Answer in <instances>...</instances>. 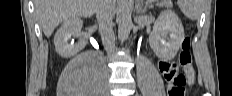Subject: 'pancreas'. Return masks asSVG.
Listing matches in <instances>:
<instances>
[{"label":"pancreas","mask_w":232,"mask_h":96,"mask_svg":"<svg viewBox=\"0 0 232 96\" xmlns=\"http://www.w3.org/2000/svg\"><path fill=\"white\" fill-rule=\"evenodd\" d=\"M162 5H167V6H171V3H167V4H162Z\"/></svg>","instance_id":"obj_1"}]
</instances>
